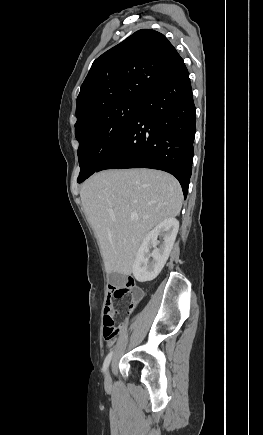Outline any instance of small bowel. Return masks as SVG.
<instances>
[{
  "label": "small bowel",
  "mask_w": 263,
  "mask_h": 435,
  "mask_svg": "<svg viewBox=\"0 0 263 435\" xmlns=\"http://www.w3.org/2000/svg\"><path fill=\"white\" fill-rule=\"evenodd\" d=\"M138 291V290H137ZM113 310V300L112 297L109 296L106 301H105V305H104V314L108 311H112Z\"/></svg>",
  "instance_id": "obj_1"
}]
</instances>
